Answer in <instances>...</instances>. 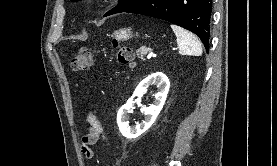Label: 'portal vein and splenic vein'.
Segmentation results:
<instances>
[{
  "instance_id": "1",
  "label": "portal vein and splenic vein",
  "mask_w": 277,
  "mask_h": 166,
  "mask_svg": "<svg viewBox=\"0 0 277 166\" xmlns=\"http://www.w3.org/2000/svg\"><path fill=\"white\" fill-rule=\"evenodd\" d=\"M153 56V53H149L148 55H147V58L149 59V58H151Z\"/></svg>"
}]
</instances>
